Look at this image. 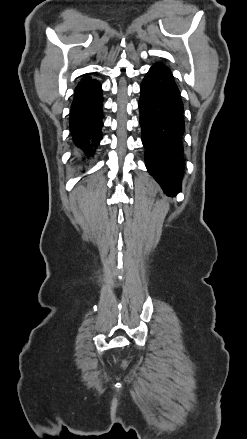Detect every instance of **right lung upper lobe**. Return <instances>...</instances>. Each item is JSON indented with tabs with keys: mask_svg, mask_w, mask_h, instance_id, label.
Returning <instances> with one entry per match:
<instances>
[{
	"mask_svg": "<svg viewBox=\"0 0 247 439\" xmlns=\"http://www.w3.org/2000/svg\"><path fill=\"white\" fill-rule=\"evenodd\" d=\"M97 83L96 80L91 79V77L87 76V74L82 78V80L79 82L76 89H83L88 86H91L93 84Z\"/></svg>",
	"mask_w": 247,
	"mask_h": 439,
	"instance_id": "obj_1",
	"label": "right lung upper lobe"
}]
</instances>
